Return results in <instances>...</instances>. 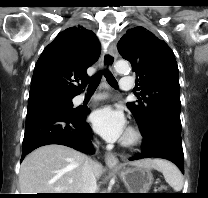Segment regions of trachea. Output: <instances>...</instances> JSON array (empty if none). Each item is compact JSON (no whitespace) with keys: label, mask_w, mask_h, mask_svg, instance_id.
Listing matches in <instances>:
<instances>
[{"label":"trachea","mask_w":208,"mask_h":198,"mask_svg":"<svg viewBox=\"0 0 208 198\" xmlns=\"http://www.w3.org/2000/svg\"><path fill=\"white\" fill-rule=\"evenodd\" d=\"M104 76L106 77V80L109 83V85H111L113 88H116V89L118 88V83H117L115 77L112 75V73L109 70L104 71ZM101 77H102V73L98 72L88 80V82H89L88 91L89 92H95V90L97 89V87L100 83Z\"/></svg>","instance_id":"3493384b"}]
</instances>
